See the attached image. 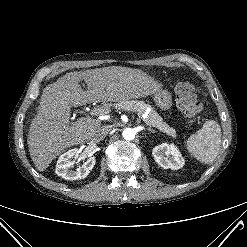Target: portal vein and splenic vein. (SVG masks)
Here are the masks:
<instances>
[{
  "label": "portal vein and splenic vein",
  "mask_w": 247,
  "mask_h": 247,
  "mask_svg": "<svg viewBox=\"0 0 247 247\" xmlns=\"http://www.w3.org/2000/svg\"><path fill=\"white\" fill-rule=\"evenodd\" d=\"M107 113H109V109L105 107H98L92 111V115H96V116L104 115Z\"/></svg>",
  "instance_id": "18ae733b"
}]
</instances>
